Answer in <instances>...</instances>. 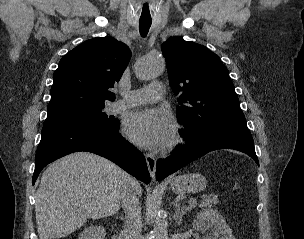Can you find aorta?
Segmentation results:
<instances>
[{
	"instance_id": "1",
	"label": "aorta",
	"mask_w": 304,
	"mask_h": 239,
	"mask_svg": "<svg viewBox=\"0 0 304 239\" xmlns=\"http://www.w3.org/2000/svg\"><path fill=\"white\" fill-rule=\"evenodd\" d=\"M165 61L159 55L148 56L140 60L136 66V75L141 80H150L158 77L164 71ZM154 239H169L166 219L157 213L154 217L152 230Z\"/></svg>"
}]
</instances>
